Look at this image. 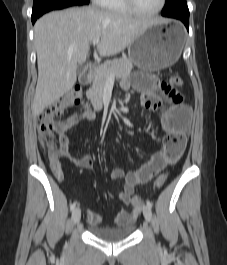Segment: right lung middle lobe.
I'll use <instances>...</instances> for the list:
<instances>
[{"mask_svg": "<svg viewBox=\"0 0 227 265\" xmlns=\"http://www.w3.org/2000/svg\"><path fill=\"white\" fill-rule=\"evenodd\" d=\"M84 4H89V0H34L32 17H40L44 13L65 6Z\"/></svg>", "mask_w": 227, "mask_h": 265, "instance_id": "dd1d6c3e", "label": "right lung middle lobe"}]
</instances>
